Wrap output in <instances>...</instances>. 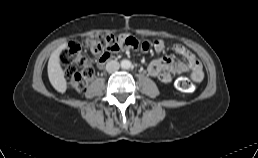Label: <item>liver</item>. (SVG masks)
Segmentation results:
<instances>
[{
  "label": "liver",
  "instance_id": "1",
  "mask_svg": "<svg viewBox=\"0 0 258 158\" xmlns=\"http://www.w3.org/2000/svg\"><path fill=\"white\" fill-rule=\"evenodd\" d=\"M66 47V43H63L52 52L47 67L49 81L54 89L60 93H64L67 89L65 74L60 65V54Z\"/></svg>",
  "mask_w": 258,
  "mask_h": 158
}]
</instances>
